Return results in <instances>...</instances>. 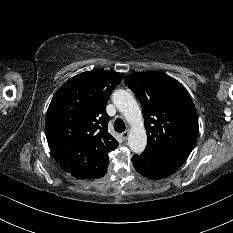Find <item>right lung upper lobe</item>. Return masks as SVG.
Instances as JSON below:
<instances>
[{
  "label": "right lung upper lobe",
  "mask_w": 233,
  "mask_h": 233,
  "mask_svg": "<svg viewBox=\"0 0 233 233\" xmlns=\"http://www.w3.org/2000/svg\"><path fill=\"white\" fill-rule=\"evenodd\" d=\"M122 73L93 70L78 74L55 93L46 116V135L57 164L76 178H98L108 153L119 143L107 130L106 103Z\"/></svg>",
  "instance_id": "right-lung-upper-lobe-1"
}]
</instances>
